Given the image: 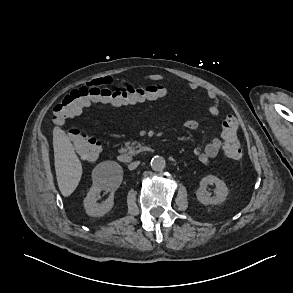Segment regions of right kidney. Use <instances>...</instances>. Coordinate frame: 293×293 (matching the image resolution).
Returning <instances> with one entry per match:
<instances>
[{
	"label": "right kidney",
	"instance_id": "obj_1",
	"mask_svg": "<svg viewBox=\"0 0 293 293\" xmlns=\"http://www.w3.org/2000/svg\"><path fill=\"white\" fill-rule=\"evenodd\" d=\"M105 164L109 168V174L94 181L83 201L86 213L92 217H102L112 209L114 205L113 192L119 187L122 180L120 165L115 162H106ZM115 172L118 177L116 181L113 180ZM102 190L111 191V195L102 204H98L96 197Z\"/></svg>",
	"mask_w": 293,
	"mask_h": 293
}]
</instances>
